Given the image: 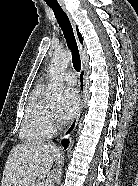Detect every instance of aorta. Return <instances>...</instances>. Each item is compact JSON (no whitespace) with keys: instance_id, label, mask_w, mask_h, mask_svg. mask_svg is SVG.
<instances>
[{"instance_id":"aorta-1","label":"aorta","mask_w":138,"mask_h":186,"mask_svg":"<svg viewBox=\"0 0 138 186\" xmlns=\"http://www.w3.org/2000/svg\"><path fill=\"white\" fill-rule=\"evenodd\" d=\"M72 59L69 51H57L53 54L48 75L47 94L50 102L56 104L60 101L64 87L63 74Z\"/></svg>"}]
</instances>
